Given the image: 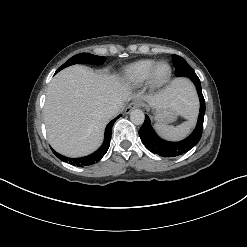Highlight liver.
Returning a JSON list of instances; mask_svg holds the SVG:
<instances>
[{
  "instance_id": "liver-1",
  "label": "liver",
  "mask_w": 247,
  "mask_h": 247,
  "mask_svg": "<svg viewBox=\"0 0 247 247\" xmlns=\"http://www.w3.org/2000/svg\"><path fill=\"white\" fill-rule=\"evenodd\" d=\"M134 97L127 83L117 76L95 73L74 65L59 72L50 82L44 106L48 140L59 153L81 157L95 151L103 141L110 118L105 110ZM150 106H172L179 115L192 118L196 100L190 84L175 79L155 95L144 96Z\"/></svg>"
}]
</instances>
